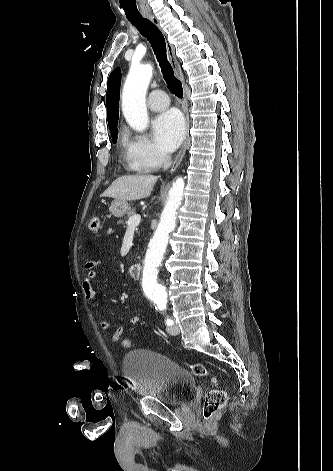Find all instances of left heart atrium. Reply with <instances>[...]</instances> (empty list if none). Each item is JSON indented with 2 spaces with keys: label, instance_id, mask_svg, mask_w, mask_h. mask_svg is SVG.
<instances>
[{
  "label": "left heart atrium",
  "instance_id": "left-heart-atrium-1",
  "mask_svg": "<svg viewBox=\"0 0 333 471\" xmlns=\"http://www.w3.org/2000/svg\"><path fill=\"white\" fill-rule=\"evenodd\" d=\"M153 132L159 147L171 152L177 148L184 137V119L177 110H168L154 120Z\"/></svg>",
  "mask_w": 333,
  "mask_h": 471
}]
</instances>
